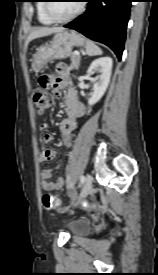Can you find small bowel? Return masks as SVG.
<instances>
[{"label":"small bowel","instance_id":"c3829d8e","mask_svg":"<svg viewBox=\"0 0 158 275\" xmlns=\"http://www.w3.org/2000/svg\"><path fill=\"white\" fill-rule=\"evenodd\" d=\"M69 74V67L65 63H59L56 66L54 74L44 76V78L49 80L48 88L56 91L66 90L65 111L67 117L61 121L59 126L61 139L65 147L72 145L73 137L77 129V119L83 117L85 114L84 105L79 100L76 90L71 85ZM40 129L44 142H50L52 139L51 126L48 123H44ZM55 156L56 151L54 149L44 148L40 154V161H51ZM51 177L52 170L46 169L41 171L40 184L42 189L49 192L61 189L64 185V179L60 177L52 181Z\"/></svg>","mask_w":158,"mask_h":275}]
</instances>
